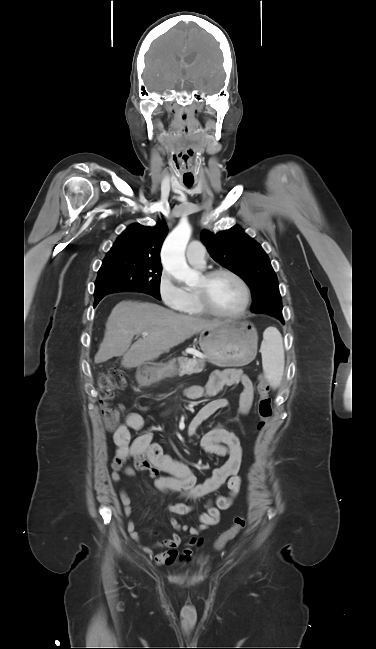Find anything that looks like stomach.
<instances>
[{
  "mask_svg": "<svg viewBox=\"0 0 376 649\" xmlns=\"http://www.w3.org/2000/svg\"><path fill=\"white\" fill-rule=\"evenodd\" d=\"M199 345L206 358L219 367L243 366L256 356L257 332L255 327L242 321H230L220 326L204 329L200 332ZM177 370L173 359L165 366H144L140 383L151 384L166 373L174 375Z\"/></svg>",
  "mask_w": 376,
  "mask_h": 649,
  "instance_id": "1",
  "label": "stomach"
}]
</instances>
